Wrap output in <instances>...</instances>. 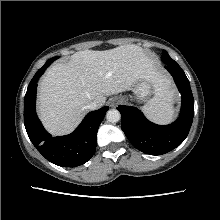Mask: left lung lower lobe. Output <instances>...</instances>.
Returning a JSON list of instances; mask_svg holds the SVG:
<instances>
[{
    "instance_id": "0a47b994",
    "label": "left lung lower lobe",
    "mask_w": 220,
    "mask_h": 220,
    "mask_svg": "<svg viewBox=\"0 0 220 220\" xmlns=\"http://www.w3.org/2000/svg\"><path fill=\"white\" fill-rule=\"evenodd\" d=\"M165 68L174 77L182 96L179 118L167 126L148 121L135 107L120 105L121 128L129 141L140 151L162 155L178 147L187 137L194 115V99L184 71L175 61H166Z\"/></svg>"
}]
</instances>
